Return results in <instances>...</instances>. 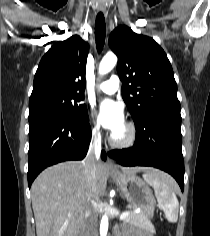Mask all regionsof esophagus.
<instances>
[{"label":"esophagus","instance_id":"1","mask_svg":"<svg viewBox=\"0 0 210 236\" xmlns=\"http://www.w3.org/2000/svg\"><path fill=\"white\" fill-rule=\"evenodd\" d=\"M99 10L102 11V12L105 11V5H104L103 2H101L99 4ZM107 167L110 170H116L117 169L115 162L111 158H108V160H107Z\"/></svg>","mask_w":210,"mask_h":236}]
</instances>
